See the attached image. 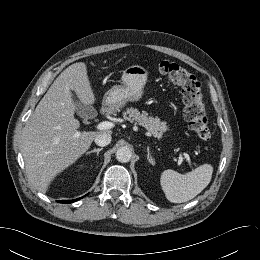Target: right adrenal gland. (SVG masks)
<instances>
[{
    "instance_id": "1",
    "label": "right adrenal gland",
    "mask_w": 260,
    "mask_h": 260,
    "mask_svg": "<svg viewBox=\"0 0 260 260\" xmlns=\"http://www.w3.org/2000/svg\"><path fill=\"white\" fill-rule=\"evenodd\" d=\"M103 150V148H98V149H93V150H91V151H89V152H87L86 154L88 155V154H90V153H97V156L99 155V152L100 151H102Z\"/></svg>"
}]
</instances>
